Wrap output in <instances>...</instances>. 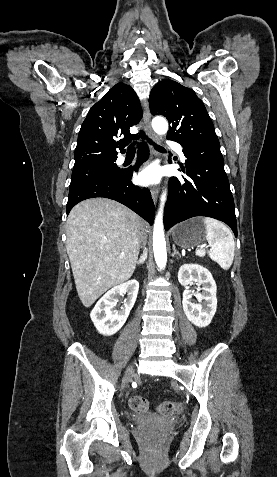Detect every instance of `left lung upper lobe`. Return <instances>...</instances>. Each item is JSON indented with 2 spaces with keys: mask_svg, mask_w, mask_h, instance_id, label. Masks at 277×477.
<instances>
[{
  "mask_svg": "<svg viewBox=\"0 0 277 477\" xmlns=\"http://www.w3.org/2000/svg\"><path fill=\"white\" fill-rule=\"evenodd\" d=\"M149 105L153 115L168 119L170 140L180 144H219L212 120L193 90L173 80H163L152 89Z\"/></svg>",
  "mask_w": 277,
  "mask_h": 477,
  "instance_id": "1",
  "label": "left lung upper lobe"
}]
</instances>
